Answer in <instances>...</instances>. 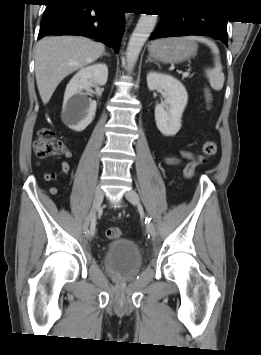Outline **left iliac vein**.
<instances>
[{
	"instance_id": "4c4485c4",
	"label": "left iliac vein",
	"mask_w": 261,
	"mask_h": 355,
	"mask_svg": "<svg viewBox=\"0 0 261 355\" xmlns=\"http://www.w3.org/2000/svg\"><path fill=\"white\" fill-rule=\"evenodd\" d=\"M125 198L132 203L133 205H135L140 211H142V207L140 204V199L138 194L134 191V190H129L125 193ZM149 233L151 234L152 237L156 236V230L153 226V224L151 223L149 225Z\"/></svg>"
}]
</instances>
